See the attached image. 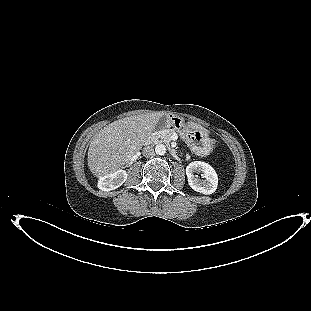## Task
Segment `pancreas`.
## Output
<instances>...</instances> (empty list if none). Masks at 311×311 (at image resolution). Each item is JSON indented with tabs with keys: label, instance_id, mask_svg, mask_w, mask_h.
Segmentation results:
<instances>
[{
	"label": "pancreas",
	"instance_id": "pancreas-1",
	"mask_svg": "<svg viewBox=\"0 0 311 311\" xmlns=\"http://www.w3.org/2000/svg\"><path fill=\"white\" fill-rule=\"evenodd\" d=\"M174 133V130L172 129H164L161 131L155 132V134L152 136L153 137V142L154 141H159V142H164V143H169L171 141V135Z\"/></svg>",
	"mask_w": 311,
	"mask_h": 311
}]
</instances>
